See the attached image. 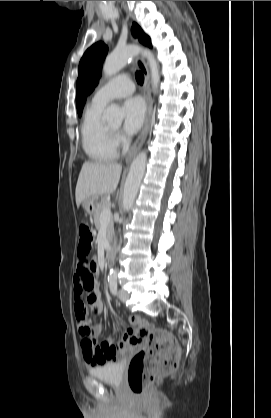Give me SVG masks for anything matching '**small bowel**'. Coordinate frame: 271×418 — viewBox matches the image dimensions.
I'll return each mask as SVG.
<instances>
[{"label": "small bowel", "instance_id": "obj_1", "mask_svg": "<svg viewBox=\"0 0 271 418\" xmlns=\"http://www.w3.org/2000/svg\"><path fill=\"white\" fill-rule=\"evenodd\" d=\"M97 274V260H91L89 256L76 258V274L73 279L74 309L81 336L83 358L92 367L118 360L140 341L135 335V330L129 328L118 344H114L111 339H106L101 344L97 343L102 333V325L96 324L90 327L87 314L88 309L95 314H100L104 308L98 288ZM85 295L86 299H84Z\"/></svg>", "mask_w": 271, "mask_h": 418}]
</instances>
